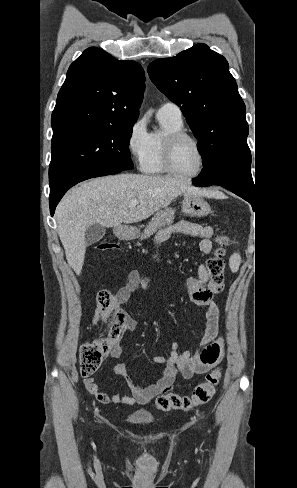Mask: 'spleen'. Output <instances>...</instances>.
<instances>
[{
	"instance_id": "3e777b00",
	"label": "spleen",
	"mask_w": 297,
	"mask_h": 488,
	"mask_svg": "<svg viewBox=\"0 0 297 488\" xmlns=\"http://www.w3.org/2000/svg\"><path fill=\"white\" fill-rule=\"evenodd\" d=\"M241 263V256L239 253L233 254L229 259V266L232 272H237Z\"/></svg>"
}]
</instances>
